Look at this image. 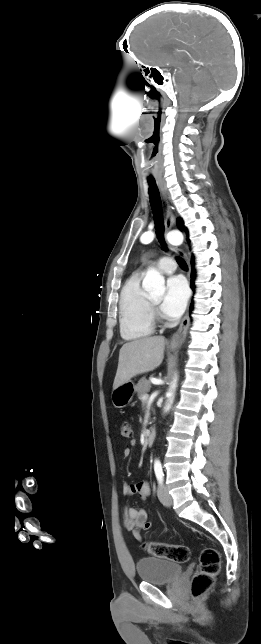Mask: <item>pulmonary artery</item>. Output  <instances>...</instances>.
I'll use <instances>...</instances> for the list:
<instances>
[{
  "instance_id": "pulmonary-artery-1",
  "label": "pulmonary artery",
  "mask_w": 261,
  "mask_h": 644,
  "mask_svg": "<svg viewBox=\"0 0 261 644\" xmlns=\"http://www.w3.org/2000/svg\"><path fill=\"white\" fill-rule=\"evenodd\" d=\"M158 268L163 272H171L175 269V262L169 257H162L157 261Z\"/></svg>"
}]
</instances>
